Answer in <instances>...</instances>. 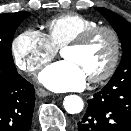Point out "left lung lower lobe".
<instances>
[{"instance_id": "left-lung-lower-lobe-1", "label": "left lung lower lobe", "mask_w": 131, "mask_h": 131, "mask_svg": "<svg viewBox=\"0 0 131 131\" xmlns=\"http://www.w3.org/2000/svg\"><path fill=\"white\" fill-rule=\"evenodd\" d=\"M78 131H131V81L108 83L88 100Z\"/></svg>"}]
</instances>
